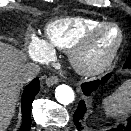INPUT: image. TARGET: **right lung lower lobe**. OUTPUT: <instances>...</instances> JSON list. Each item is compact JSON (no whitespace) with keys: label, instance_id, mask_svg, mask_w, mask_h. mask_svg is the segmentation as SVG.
Returning <instances> with one entry per match:
<instances>
[{"label":"right lung lower lobe","instance_id":"1","mask_svg":"<svg viewBox=\"0 0 131 131\" xmlns=\"http://www.w3.org/2000/svg\"><path fill=\"white\" fill-rule=\"evenodd\" d=\"M40 90L39 79L35 78L31 83H29L22 95V125L18 131H29L31 126V116L30 109L32 106V102L34 100L35 95Z\"/></svg>","mask_w":131,"mask_h":131}]
</instances>
